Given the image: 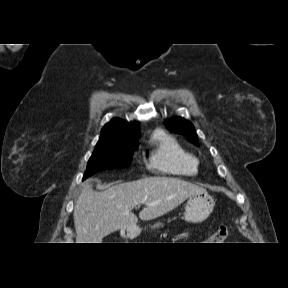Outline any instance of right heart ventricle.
I'll return each instance as SVG.
<instances>
[{"label":"right heart ventricle","instance_id":"e07e8e85","mask_svg":"<svg viewBox=\"0 0 288 288\" xmlns=\"http://www.w3.org/2000/svg\"><path fill=\"white\" fill-rule=\"evenodd\" d=\"M153 150L149 159L151 168L171 175L195 176L199 172V160L174 137L162 130L152 136Z\"/></svg>","mask_w":288,"mask_h":288}]
</instances>
